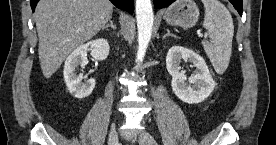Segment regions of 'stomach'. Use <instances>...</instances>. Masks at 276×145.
Segmentation results:
<instances>
[{
    "label": "stomach",
    "mask_w": 276,
    "mask_h": 145,
    "mask_svg": "<svg viewBox=\"0 0 276 145\" xmlns=\"http://www.w3.org/2000/svg\"><path fill=\"white\" fill-rule=\"evenodd\" d=\"M198 17L199 10L193 0H177L164 13L168 24L185 28L194 26Z\"/></svg>",
    "instance_id": "0dacf381"
}]
</instances>
